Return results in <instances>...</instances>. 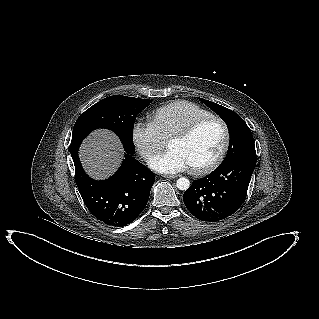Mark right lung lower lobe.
<instances>
[{"label":"right lung lower lobe","instance_id":"1","mask_svg":"<svg viewBox=\"0 0 319 319\" xmlns=\"http://www.w3.org/2000/svg\"><path fill=\"white\" fill-rule=\"evenodd\" d=\"M78 146L70 149L75 165L76 184L88 210L101 222L123 227L133 222L145 208L154 174L126 153L119 170L109 179L96 181L83 170Z\"/></svg>","mask_w":319,"mask_h":319}]
</instances>
